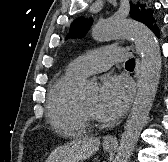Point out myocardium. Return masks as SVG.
Listing matches in <instances>:
<instances>
[{
    "mask_svg": "<svg viewBox=\"0 0 168 162\" xmlns=\"http://www.w3.org/2000/svg\"><path fill=\"white\" fill-rule=\"evenodd\" d=\"M78 108L81 116L86 122L94 123L98 121L97 117L86 108L81 98L78 99Z\"/></svg>",
    "mask_w": 168,
    "mask_h": 162,
    "instance_id": "1",
    "label": "myocardium"
}]
</instances>
